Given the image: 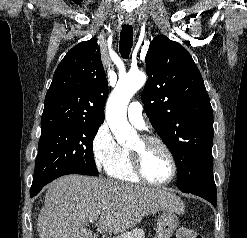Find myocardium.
<instances>
[{"label": "myocardium", "instance_id": "myocardium-1", "mask_svg": "<svg viewBox=\"0 0 247 238\" xmlns=\"http://www.w3.org/2000/svg\"><path fill=\"white\" fill-rule=\"evenodd\" d=\"M139 139H140L142 145L157 144L165 151V153L167 154V156L170 160L171 174L164 181L157 182V181L150 180L146 176V174L144 173V170H143L141 152L138 150L130 149L129 152H130L132 166H133L135 174L138 176V178L142 182L149 184V185H152V186H165V185L170 184L174 180V178L176 177V174H177V162H176V158H175L174 153L171 150V148L161 138L153 136V135H144V136H141Z\"/></svg>", "mask_w": 247, "mask_h": 238}]
</instances>
